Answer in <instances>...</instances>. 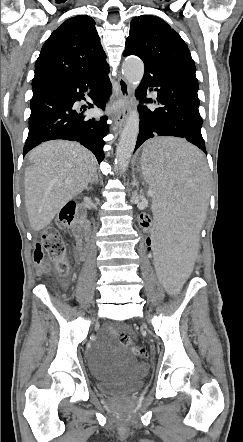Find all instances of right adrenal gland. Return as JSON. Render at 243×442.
Here are the masks:
<instances>
[{"mask_svg":"<svg viewBox=\"0 0 243 442\" xmlns=\"http://www.w3.org/2000/svg\"><path fill=\"white\" fill-rule=\"evenodd\" d=\"M91 184H93L94 182L96 183V184H98V175H97V170L95 169V171H94V175H93V177H92V179H91Z\"/></svg>","mask_w":243,"mask_h":442,"instance_id":"obj_1","label":"right adrenal gland"}]
</instances>
